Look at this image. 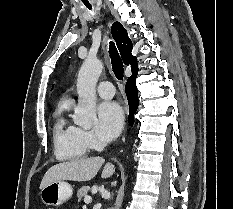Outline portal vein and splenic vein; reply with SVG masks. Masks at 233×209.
Listing matches in <instances>:
<instances>
[{
  "label": "portal vein and splenic vein",
  "instance_id": "18ae733b",
  "mask_svg": "<svg viewBox=\"0 0 233 209\" xmlns=\"http://www.w3.org/2000/svg\"><path fill=\"white\" fill-rule=\"evenodd\" d=\"M84 202H85L86 204H89V203L92 202V198H91L90 196H86V197L84 198Z\"/></svg>",
  "mask_w": 233,
  "mask_h": 209
}]
</instances>
